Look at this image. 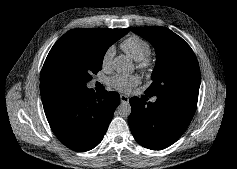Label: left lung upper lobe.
Returning a JSON list of instances; mask_svg holds the SVG:
<instances>
[{"label":"left lung upper lobe","instance_id":"obj_1","mask_svg":"<svg viewBox=\"0 0 237 169\" xmlns=\"http://www.w3.org/2000/svg\"><path fill=\"white\" fill-rule=\"evenodd\" d=\"M134 33L152 43L157 60L152 84L145 91L148 96L168 93L198 96L200 70L191 47L177 34L165 27H138Z\"/></svg>","mask_w":237,"mask_h":169}]
</instances>
